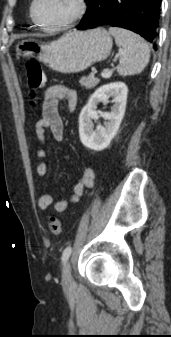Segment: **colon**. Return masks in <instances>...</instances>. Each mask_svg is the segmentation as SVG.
<instances>
[{"label": "colon", "instance_id": "obj_1", "mask_svg": "<svg viewBox=\"0 0 171 337\" xmlns=\"http://www.w3.org/2000/svg\"><path fill=\"white\" fill-rule=\"evenodd\" d=\"M25 68L27 71L28 86L33 91L43 88L46 77L40 62L36 59H29L25 63ZM48 227L53 235H59L62 232V223L58 217H51Z\"/></svg>", "mask_w": 171, "mask_h": 337}]
</instances>
